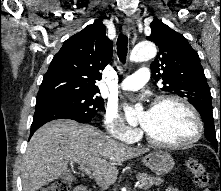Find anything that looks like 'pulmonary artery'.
<instances>
[{"instance_id":"e3ab8cb5","label":"pulmonary artery","mask_w":221,"mask_h":191,"mask_svg":"<svg viewBox=\"0 0 221 191\" xmlns=\"http://www.w3.org/2000/svg\"><path fill=\"white\" fill-rule=\"evenodd\" d=\"M150 73L146 67H141L136 72L125 78L120 84L119 88L123 91H136L142 88L149 80Z\"/></svg>"}]
</instances>
